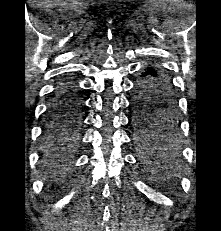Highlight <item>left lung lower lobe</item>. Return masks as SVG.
Here are the masks:
<instances>
[{"mask_svg": "<svg viewBox=\"0 0 221 231\" xmlns=\"http://www.w3.org/2000/svg\"><path fill=\"white\" fill-rule=\"evenodd\" d=\"M153 69V67H148L139 74L138 79L135 83L134 96L141 94V88L148 89L154 86L162 85V83L156 81V76H154L155 71ZM172 96L175 97L174 92L172 93ZM161 101L162 100L158 99L157 97L149 98L148 104L152 107H156L160 104ZM176 123L177 120L169 125V129L166 132L157 133L149 137L146 141L139 143L145 148V151L154 156H158L160 158L172 156L178 150V145L171 133L175 128Z\"/></svg>", "mask_w": 221, "mask_h": 231, "instance_id": "1", "label": "left lung lower lobe"}]
</instances>
